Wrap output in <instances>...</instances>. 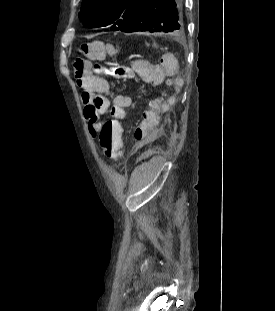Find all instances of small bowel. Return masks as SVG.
<instances>
[{
    "mask_svg": "<svg viewBox=\"0 0 275 311\" xmlns=\"http://www.w3.org/2000/svg\"><path fill=\"white\" fill-rule=\"evenodd\" d=\"M107 53L118 56V51L113 46L106 47ZM115 50V51H114ZM163 51V48H160ZM180 56H158L156 64L150 65V60H129V67L133 72H138L139 80H149V87H161L163 96H152L149 105H145L142 115H139V122H136L134 132L130 137L133 143H153L156 133V126L159 125V116L164 112H172L176 106L175 93H181V78L183 75ZM78 86L83 89L82 103L84 104V115L88 122L90 133L95 136L103 123L99 117L110 112L112 118H118L121 124L126 118V108L132 100L129 96L109 94L110 88L106 80L89 74L88 72L76 75ZM119 133L120 130H117Z\"/></svg>",
    "mask_w": 275,
    "mask_h": 311,
    "instance_id": "1",
    "label": "small bowel"
}]
</instances>
